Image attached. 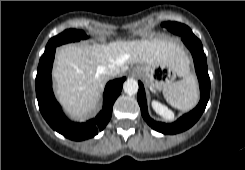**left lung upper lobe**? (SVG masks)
I'll use <instances>...</instances> for the list:
<instances>
[{
    "instance_id": "left-lung-upper-lobe-1",
    "label": "left lung upper lobe",
    "mask_w": 245,
    "mask_h": 170,
    "mask_svg": "<svg viewBox=\"0 0 245 170\" xmlns=\"http://www.w3.org/2000/svg\"><path fill=\"white\" fill-rule=\"evenodd\" d=\"M162 26L177 35H181L180 31L188 27L184 24L177 23V22H170V21L162 23Z\"/></svg>"
}]
</instances>
